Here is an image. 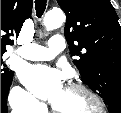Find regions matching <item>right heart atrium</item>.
Wrapping results in <instances>:
<instances>
[{"label":"right heart atrium","mask_w":121,"mask_h":113,"mask_svg":"<svg viewBox=\"0 0 121 113\" xmlns=\"http://www.w3.org/2000/svg\"><path fill=\"white\" fill-rule=\"evenodd\" d=\"M10 102L13 109L25 113H34L42 108V105L30 93L19 86L11 90Z\"/></svg>","instance_id":"obj_1"}]
</instances>
